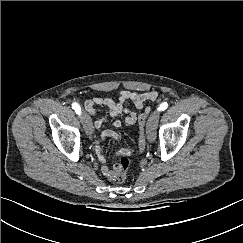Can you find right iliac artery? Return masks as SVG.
I'll return each instance as SVG.
<instances>
[{"instance_id": "82829eb1", "label": "right iliac artery", "mask_w": 243, "mask_h": 243, "mask_svg": "<svg viewBox=\"0 0 243 243\" xmlns=\"http://www.w3.org/2000/svg\"><path fill=\"white\" fill-rule=\"evenodd\" d=\"M72 108L74 109V111H75L77 114L80 115V113H81V108H80V106H79L77 103H73V104H72Z\"/></svg>"}]
</instances>
